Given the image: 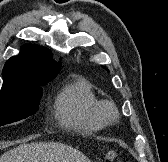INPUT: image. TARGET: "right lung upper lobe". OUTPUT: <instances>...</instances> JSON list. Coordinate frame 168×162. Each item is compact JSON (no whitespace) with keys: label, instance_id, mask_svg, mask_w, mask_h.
<instances>
[{"label":"right lung upper lobe","instance_id":"cb5924a9","mask_svg":"<svg viewBox=\"0 0 168 162\" xmlns=\"http://www.w3.org/2000/svg\"><path fill=\"white\" fill-rule=\"evenodd\" d=\"M61 63L52 59L47 49L26 45L18 56L4 65V83L0 92L9 91L26 82H49L59 73Z\"/></svg>","mask_w":168,"mask_h":162}]
</instances>
